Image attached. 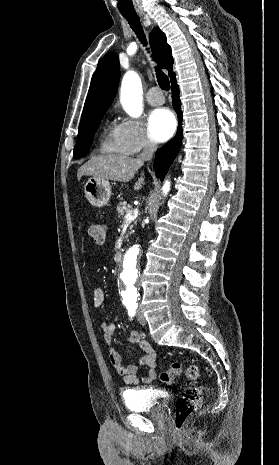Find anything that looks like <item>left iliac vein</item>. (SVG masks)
<instances>
[{"label": "left iliac vein", "mask_w": 279, "mask_h": 465, "mask_svg": "<svg viewBox=\"0 0 279 465\" xmlns=\"http://www.w3.org/2000/svg\"><path fill=\"white\" fill-rule=\"evenodd\" d=\"M137 319H138V322L140 324H142V325L146 324V319H145L143 313L140 310L137 311Z\"/></svg>", "instance_id": "4c4485c4"}]
</instances>
